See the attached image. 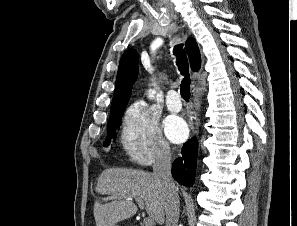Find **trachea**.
Masks as SVG:
<instances>
[{"mask_svg":"<svg viewBox=\"0 0 297 226\" xmlns=\"http://www.w3.org/2000/svg\"><path fill=\"white\" fill-rule=\"evenodd\" d=\"M182 47H183L182 44L175 45L173 49V53L177 58L176 64L178 66V69L180 73L184 76L181 82L180 93L185 101H189L190 83H191L190 76H189V64H188L186 53L184 52Z\"/></svg>","mask_w":297,"mask_h":226,"instance_id":"obj_1","label":"trachea"}]
</instances>
